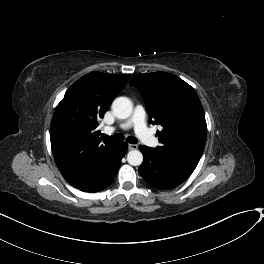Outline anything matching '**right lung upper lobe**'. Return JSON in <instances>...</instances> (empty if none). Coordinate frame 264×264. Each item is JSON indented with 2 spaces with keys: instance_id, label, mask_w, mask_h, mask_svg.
Here are the masks:
<instances>
[{
  "instance_id": "obj_1",
  "label": "right lung upper lobe",
  "mask_w": 264,
  "mask_h": 264,
  "mask_svg": "<svg viewBox=\"0 0 264 264\" xmlns=\"http://www.w3.org/2000/svg\"><path fill=\"white\" fill-rule=\"evenodd\" d=\"M128 79L129 75L88 73L68 89L56 107L51 148L58 169L72 186L94 181L114 161L120 142L103 140L97 127Z\"/></svg>"
}]
</instances>
